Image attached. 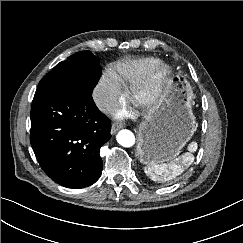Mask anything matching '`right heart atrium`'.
I'll return each instance as SVG.
<instances>
[{"label": "right heart atrium", "instance_id": "right-heart-atrium-1", "mask_svg": "<svg viewBox=\"0 0 243 243\" xmlns=\"http://www.w3.org/2000/svg\"><path fill=\"white\" fill-rule=\"evenodd\" d=\"M122 95V89L105 73L94 90V101L100 111L107 112L118 103Z\"/></svg>", "mask_w": 243, "mask_h": 243}]
</instances>
